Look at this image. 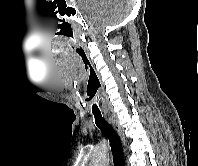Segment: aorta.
Wrapping results in <instances>:
<instances>
[{"instance_id": "obj_1", "label": "aorta", "mask_w": 198, "mask_h": 166, "mask_svg": "<svg viewBox=\"0 0 198 166\" xmlns=\"http://www.w3.org/2000/svg\"><path fill=\"white\" fill-rule=\"evenodd\" d=\"M89 166H109V157L105 154H98L93 158Z\"/></svg>"}]
</instances>
